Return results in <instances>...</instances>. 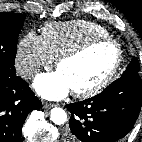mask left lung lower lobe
<instances>
[{
    "mask_svg": "<svg viewBox=\"0 0 142 142\" xmlns=\"http://www.w3.org/2000/svg\"><path fill=\"white\" fill-rule=\"evenodd\" d=\"M142 103L139 74L121 76L100 94L67 105L71 112L66 142H114L134 126Z\"/></svg>",
    "mask_w": 142,
    "mask_h": 142,
    "instance_id": "1",
    "label": "left lung lower lobe"
}]
</instances>
